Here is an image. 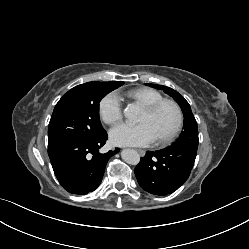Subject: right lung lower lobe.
Returning <instances> with one entry per match:
<instances>
[{
    "instance_id": "1",
    "label": "right lung lower lobe",
    "mask_w": 249,
    "mask_h": 249,
    "mask_svg": "<svg viewBox=\"0 0 249 249\" xmlns=\"http://www.w3.org/2000/svg\"><path fill=\"white\" fill-rule=\"evenodd\" d=\"M106 131L92 140L71 141L48 150L54 173L68 192L84 195L100 184L107 161L119 152V148L101 154L106 143Z\"/></svg>"
}]
</instances>
